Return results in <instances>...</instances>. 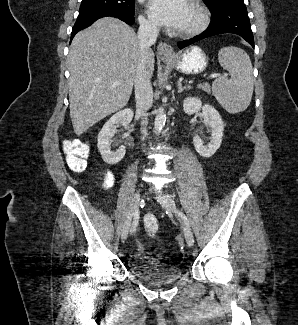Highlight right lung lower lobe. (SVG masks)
<instances>
[{
    "instance_id": "1",
    "label": "right lung lower lobe",
    "mask_w": 298,
    "mask_h": 325,
    "mask_svg": "<svg viewBox=\"0 0 298 325\" xmlns=\"http://www.w3.org/2000/svg\"><path fill=\"white\" fill-rule=\"evenodd\" d=\"M105 16H112L121 19L122 21L126 22L129 25H132L135 22L134 15H128L125 13L120 12H111V13H97L85 17H78L76 20V23L74 24L72 28L71 33V40L75 36L77 32L80 30L90 26L93 22H95L97 19L105 17Z\"/></svg>"
}]
</instances>
